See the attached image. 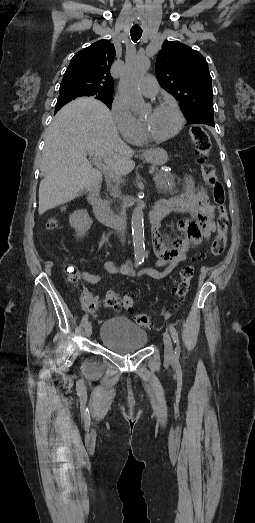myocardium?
<instances>
[{
    "instance_id": "myocardium-1",
    "label": "myocardium",
    "mask_w": 255,
    "mask_h": 523,
    "mask_svg": "<svg viewBox=\"0 0 255 523\" xmlns=\"http://www.w3.org/2000/svg\"><path fill=\"white\" fill-rule=\"evenodd\" d=\"M163 106H170L174 109V111L176 112L177 114V117H178V125L176 127V129L166 135V136H159V137H155V136H151L147 133V131L145 130L142 122H140V138L145 141V142H164V141H167V140H170L172 138H174L175 136H177L180 131L182 130L183 126H184V123H185V119H184V115L181 111V109L179 108V106L172 102V101H168V100H165V101H161V102H158L156 103L155 105L152 106V109L156 110V109H159L160 107H163Z\"/></svg>"
}]
</instances>
